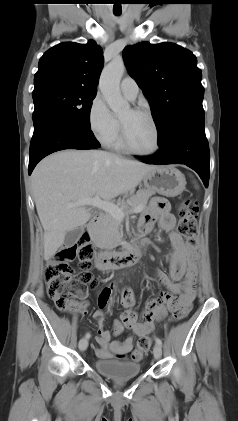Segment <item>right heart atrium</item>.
I'll return each instance as SVG.
<instances>
[{
    "label": "right heart atrium",
    "instance_id": "d8ad5b80",
    "mask_svg": "<svg viewBox=\"0 0 238 421\" xmlns=\"http://www.w3.org/2000/svg\"><path fill=\"white\" fill-rule=\"evenodd\" d=\"M88 122L92 133L104 144L112 142L119 132V122L103 98L95 96L88 111Z\"/></svg>",
    "mask_w": 238,
    "mask_h": 421
}]
</instances>
